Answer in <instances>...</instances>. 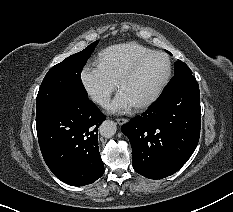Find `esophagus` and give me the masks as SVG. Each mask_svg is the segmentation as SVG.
I'll use <instances>...</instances> for the list:
<instances>
[{"label": "esophagus", "mask_w": 233, "mask_h": 212, "mask_svg": "<svg viewBox=\"0 0 233 212\" xmlns=\"http://www.w3.org/2000/svg\"><path fill=\"white\" fill-rule=\"evenodd\" d=\"M117 123L119 125H123L124 123H126L128 120L126 118H118L117 120Z\"/></svg>", "instance_id": "34e87169"}]
</instances>
